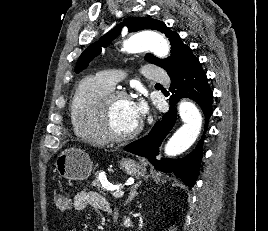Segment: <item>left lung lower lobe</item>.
<instances>
[{"mask_svg": "<svg viewBox=\"0 0 268 231\" xmlns=\"http://www.w3.org/2000/svg\"><path fill=\"white\" fill-rule=\"evenodd\" d=\"M171 78L169 104L170 110L163 115L148 135L130 143L124 149L136 155L146 157L154 167L165 173H174L186 185L193 186L196 182L200 161L202 159L203 139L196 148L181 159H156L163 139L173 128L176 122L175 106L180 98L188 97L196 101L201 107L206 123L212 114V91L207 76L202 69L198 58H192L181 70L169 74ZM207 126L205 127L206 130Z\"/></svg>", "mask_w": 268, "mask_h": 231, "instance_id": "left-lung-lower-lobe-1", "label": "left lung lower lobe"}]
</instances>
